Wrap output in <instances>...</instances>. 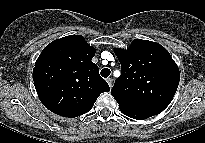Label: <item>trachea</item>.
<instances>
[{
	"instance_id": "1",
	"label": "trachea",
	"mask_w": 205,
	"mask_h": 143,
	"mask_svg": "<svg viewBox=\"0 0 205 143\" xmlns=\"http://www.w3.org/2000/svg\"><path fill=\"white\" fill-rule=\"evenodd\" d=\"M110 73H111V71L108 68H104L101 70V76L104 78L108 77L110 75Z\"/></svg>"
}]
</instances>
